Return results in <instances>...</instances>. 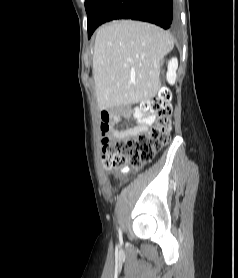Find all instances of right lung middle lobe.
Listing matches in <instances>:
<instances>
[{
	"mask_svg": "<svg viewBox=\"0 0 238 278\" xmlns=\"http://www.w3.org/2000/svg\"><path fill=\"white\" fill-rule=\"evenodd\" d=\"M95 1L96 0H85V8L87 13Z\"/></svg>",
	"mask_w": 238,
	"mask_h": 278,
	"instance_id": "right-lung-middle-lobe-1",
	"label": "right lung middle lobe"
}]
</instances>
